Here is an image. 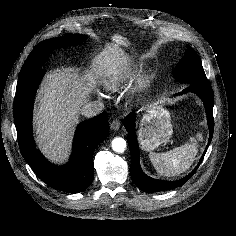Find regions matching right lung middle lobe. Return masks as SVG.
Wrapping results in <instances>:
<instances>
[{"instance_id":"dd1d6c3e","label":"right lung middle lobe","mask_w":236,"mask_h":236,"mask_svg":"<svg viewBox=\"0 0 236 236\" xmlns=\"http://www.w3.org/2000/svg\"><path fill=\"white\" fill-rule=\"evenodd\" d=\"M86 39L84 35H66L60 38L47 39L40 42L34 47L28 58L26 59L19 77L30 73L34 70L40 69L46 62L48 55L54 49H58L64 46L77 45Z\"/></svg>"}]
</instances>
